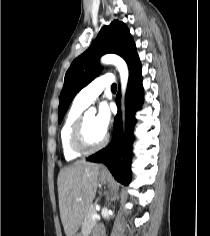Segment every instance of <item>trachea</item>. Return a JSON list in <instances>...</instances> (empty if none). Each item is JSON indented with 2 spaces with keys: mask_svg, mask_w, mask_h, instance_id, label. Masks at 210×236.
Here are the masks:
<instances>
[{
  "mask_svg": "<svg viewBox=\"0 0 210 236\" xmlns=\"http://www.w3.org/2000/svg\"><path fill=\"white\" fill-rule=\"evenodd\" d=\"M111 90H112V91H116V90H117L116 84H113V85H112Z\"/></svg>",
  "mask_w": 210,
  "mask_h": 236,
  "instance_id": "obj_1",
  "label": "trachea"
}]
</instances>
